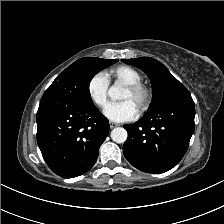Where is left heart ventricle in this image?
Masks as SVG:
<instances>
[{
  "mask_svg": "<svg viewBox=\"0 0 224 224\" xmlns=\"http://www.w3.org/2000/svg\"><path fill=\"white\" fill-rule=\"evenodd\" d=\"M121 100H130L138 107V99L133 94H131L126 88L122 93Z\"/></svg>",
  "mask_w": 224,
  "mask_h": 224,
  "instance_id": "left-heart-ventricle-1",
  "label": "left heart ventricle"
}]
</instances>
